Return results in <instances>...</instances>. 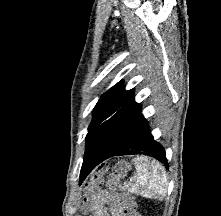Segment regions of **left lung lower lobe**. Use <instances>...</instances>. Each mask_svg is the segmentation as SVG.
<instances>
[{
  "label": "left lung lower lobe",
  "instance_id": "obj_1",
  "mask_svg": "<svg viewBox=\"0 0 221 216\" xmlns=\"http://www.w3.org/2000/svg\"><path fill=\"white\" fill-rule=\"evenodd\" d=\"M143 154L156 158L164 163L168 169L164 148L153 139L148 122L140 127L138 132L131 138L123 148L114 151L112 147L99 145L85 152L80 173V183L101 162L112 157L121 155Z\"/></svg>",
  "mask_w": 221,
  "mask_h": 216
}]
</instances>
